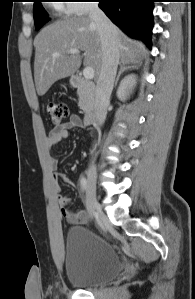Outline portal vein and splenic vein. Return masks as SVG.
Masks as SVG:
<instances>
[{"instance_id": "1", "label": "portal vein and splenic vein", "mask_w": 195, "mask_h": 299, "mask_svg": "<svg viewBox=\"0 0 195 299\" xmlns=\"http://www.w3.org/2000/svg\"><path fill=\"white\" fill-rule=\"evenodd\" d=\"M68 53L69 54H77V53H79V50L78 49H70L68 51ZM54 56L58 57V56H60V54L59 53H55ZM83 76L87 80L93 79V77H94V69L92 67H90V66L85 67L84 70H83Z\"/></svg>"}]
</instances>
